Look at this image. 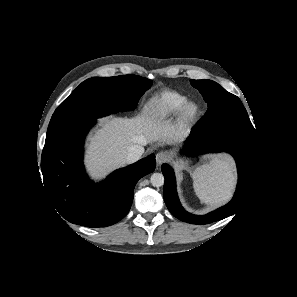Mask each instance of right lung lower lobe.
I'll return each mask as SVG.
<instances>
[{"label":"right lung lower lobe","mask_w":297,"mask_h":297,"mask_svg":"<svg viewBox=\"0 0 297 297\" xmlns=\"http://www.w3.org/2000/svg\"><path fill=\"white\" fill-rule=\"evenodd\" d=\"M95 122L45 143L41 170L50 201L66 220L86 227H106L127 215L136 183L154 171L156 162L151 154L95 184L86 175L82 161L84 138Z\"/></svg>","instance_id":"98d812e1"}]
</instances>
